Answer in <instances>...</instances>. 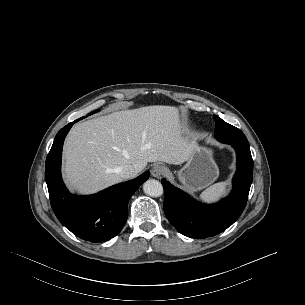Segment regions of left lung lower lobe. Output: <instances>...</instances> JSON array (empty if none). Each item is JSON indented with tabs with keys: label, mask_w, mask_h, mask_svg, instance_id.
<instances>
[{
	"label": "left lung lower lobe",
	"mask_w": 305,
	"mask_h": 305,
	"mask_svg": "<svg viewBox=\"0 0 305 305\" xmlns=\"http://www.w3.org/2000/svg\"><path fill=\"white\" fill-rule=\"evenodd\" d=\"M237 154V170L233 177L231 194L214 205L198 203L166 179L164 212L170 223L183 235L203 239L215 236L231 226L245 208L253 176V160L249 144L225 141Z\"/></svg>",
	"instance_id": "left-lung-lower-lobe-1"
}]
</instances>
